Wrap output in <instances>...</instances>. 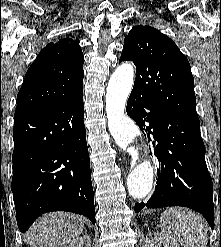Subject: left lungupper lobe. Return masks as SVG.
Segmentation results:
<instances>
[{
  "instance_id": "5c2ea615",
  "label": "left lung upper lobe",
  "mask_w": 221,
  "mask_h": 247,
  "mask_svg": "<svg viewBox=\"0 0 221 247\" xmlns=\"http://www.w3.org/2000/svg\"><path fill=\"white\" fill-rule=\"evenodd\" d=\"M121 61L136 65L132 94L177 115L198 119L190 64L169 37L148 25L134 26L124 39Z\"/></svg>"
}]
</instances>
